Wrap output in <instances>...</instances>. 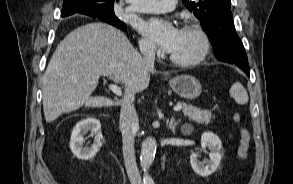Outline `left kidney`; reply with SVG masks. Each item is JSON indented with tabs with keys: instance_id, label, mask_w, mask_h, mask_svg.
I'll return each mask as SVG.
<instances>
[{
	"instance_id": "left-kidney-1",
	"label": "left kidney",
	"mask_w": 293,
	"mask_h": 184,
	"mask_svg": "<svg viewBox=\"0 0 293 184\" xmlns=\"http://www.w3.org/2000/svg\"><path fill=\"white\" fill-rule=\"evenodd\" d=\"M201 147L202 150L206 148L210 150L209 159L200 162L198 160L199 153L196 152L190 156V163L196 174L201 177H208L218 169L224 155V150L221 140L212 132H204L202 134Z\"/></svg>"
}]
</instances>
